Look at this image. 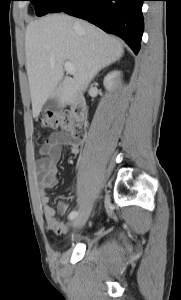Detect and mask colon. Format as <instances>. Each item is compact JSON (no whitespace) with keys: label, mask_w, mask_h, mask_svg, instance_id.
<instances>
[{"label":"colon","mask_w":181,"mask_h":300,"mask_svg":"<svg viewBox=\"0 0 181 300\" xmlns=\"http://www.w3.org/2000/svg\"><path fill=\"white\" fill-rule=\"evenodd\" d=\"M39 124L44 128L60 129L65 134L78 137L80 127L76 125L67 113L48 111L39 118Z\"/></svg>","instance_id":"1"}]
</instances>
